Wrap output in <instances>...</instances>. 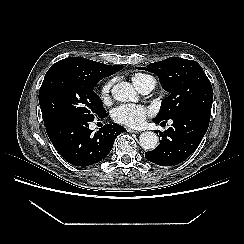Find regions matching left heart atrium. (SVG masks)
<instances>
[{"label":"left heart atrium","mask_w":244,"mask_h":244,"mask_svg":"<svg viewBox=\"0 0 244 244\" xmlns=\"http://www.w3.org/2000/svg\"><path fill=\"white\" fill-rule=\"evenodd\" d=\"M148 114L149 111L143 106L126 104L115 108L112 117L119 124L138 128L144 123Z\"/></svg>","instance_id":"1"}]
</instances>
